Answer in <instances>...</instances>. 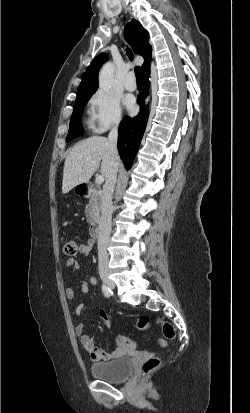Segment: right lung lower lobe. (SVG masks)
<instances>
[{"mask_svg":"<svg viewBox=\"0 0 250 413\" xmlns=\"http://www.w3.org/2000/svg\"><path fill=\"white\" fill-rule=\"evenodd\" d=\"M149 74L150 71L143 72L144 86L137 97V102L140 105L138 116L134 118L125 116L121 121L118 130L119 136L117 148L120 157L128 170L132 166L135 153L142 140L148 120V107L145 105V98L149 89Z\"/></svg>","mask_w":250,"mask_h":413,"instance_id":"obj_1","label":"right lung lower lobe"}]
</instances>
